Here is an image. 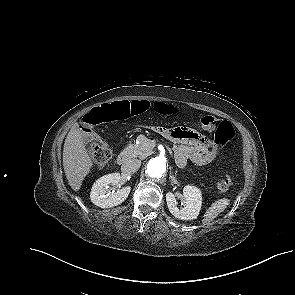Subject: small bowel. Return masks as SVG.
<instances>
[{"mask_svg": "<svg viewBox=\"0 0 295 295\" xmlns=\"http://www.w3.org/2000/svg\"><path fill=\"white\" fill-rule=\"evenodd\" d=\"M157 130L176 143L174 157L176 164L181 168L185 167L189 161L206 165L215 157L212 153L211 140L195 130L183 127L174 129L158 127Z\"/></svg>", "mask_w": 295, "mask_h": 295, "instance_id": "c3829d8e", "label": "small bowel"}]
</instances>
